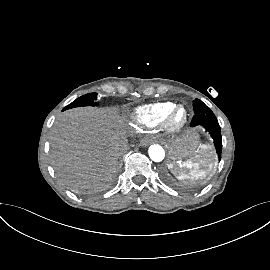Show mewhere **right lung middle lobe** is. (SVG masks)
Returning a JSON list of instances; mask_svg holds the SVG:
<instances>
[{
  "label": "right lung middle lobe",
  "instance_id": "1",
  "mask_svg": "<svg viewBox=\"0 0 270 270\" xmlns=\"http://www.w3.org/2000/svg\"><path fill=\"white\" fill-rule=\"evenodd\" d=\"M96 97H97L96 93H89V94L83 95L80 98L73 101L72 103H70L63 110L79 107V106H97L98 103L95 102Z\"/></svg>",
  "mask_w": 270,
  "mask_h": 270
}]
</instances>
